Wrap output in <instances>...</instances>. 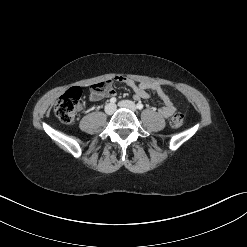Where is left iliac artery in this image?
I'll use <instances>...</instances> for the list:
<instances>
[{"instance_id": "44dca946", "label": "left iliac artery", "mask_w": 247, "mask_h": 247, "mask_svg": "<svg viewBox=\"0 0 247 247\" xmlns=\"http://www.w3.org/2000/svg\"><path fill=\"white\" fill-rule=\"evenodd\" d=\"M139 110L143 109V104L142 103H138L136 106Z\"/></svg>"}]
</instances>
